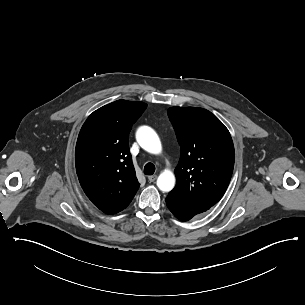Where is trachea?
<instances>
[{
	"instance_id": "trachea-1",
	"label": "trachea",
	"mask_w": 305,
	"mask_h": 305,
	"mask_svg": "<svg viewBox=\"0 0 305 305\" xmlns=\"http://www.w3.org/2000/svg\"><path fill=\"white\" fill-rule=\"evenodd\" d=\"M144 174L145 175H153L154 172H155V165L153 163H147L145 166H144Z\"/></svg>"
}]
</instances>
